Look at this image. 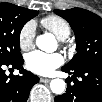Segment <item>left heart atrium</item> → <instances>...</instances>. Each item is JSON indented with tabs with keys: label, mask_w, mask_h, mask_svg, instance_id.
Wrapping results in <instances>:
<instances>
[{
	"label": "left heart atrium",
	"mask_w": 102,
	"mask_h": 102,
	"mask_svg": "<svg viewBox=\"0 0 102 102\" xmlns=\"http://www.w3.org/2000/svg\"><path fill=\"white\" fill-rule=\"evenodd\" d=\"M64 63L63 57L58 53L47 54L34 51L27 56V67L38 75H49L54 69Z\"/></svg>",
	"instance_id": "obj_1"
}]
</instances>
